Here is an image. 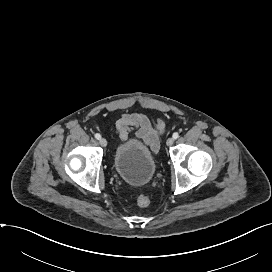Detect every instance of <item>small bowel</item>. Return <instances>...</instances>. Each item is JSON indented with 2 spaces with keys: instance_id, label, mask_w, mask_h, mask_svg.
I'll list each match as a JSON object with an SVG mask.
<instances>
[{
  "instance_id": "c3829d8e",
  "label": "small bowel",
  "mask_w": 272,
  "mask_h": 272,
  "mask_svg": "<svg viewBox=\"0 0 272 272\" xmlns=\"http://www.w3.org/2000/svg\"><path fill=\"white\" fill-rule=\"evenodd\" d=\"M164 119L152 122L146 115L141 113H125L116 123V134L124 142L130 132L135 131L136 137L156 152L159 147L160 136L164 132Z\"/></svg>"
}]
</instances>
